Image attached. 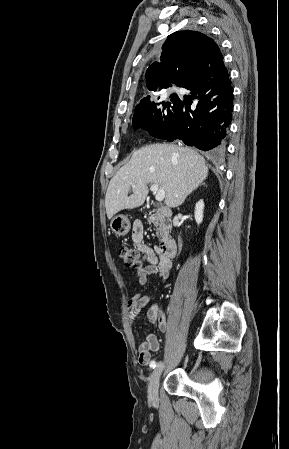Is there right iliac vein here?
<instances>
[{
  "instance_id": "obj_1",
  "label": "right iliac vein",
  "mask_w": 289,
  "mask_h": 449,
  "mask_svg": "<svg viewBox=\"0 0 289 449\" xmlns=\"http://www.w3.org/2000/svg\"><path fill=\"white\" fill-rule=\"evenodd\" d=\"M164 368H165L164 363L158 364L150 376L148 395L150 400L152 401H156L158 398L159 381Z\"/></svg>"
}]
</instances>
